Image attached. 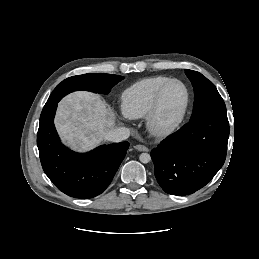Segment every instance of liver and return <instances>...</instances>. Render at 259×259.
<instances>
[{
	"label": "liver",
	"instance_id": "obj_1",
	"mask_svg": "<svg viewBox=\"0 0 259 259\" xmlns=\"http://www.w3.org/2000/svg\"><path fill=\"white\" fill-rule=\"evenodd\" d=\"M115 122L113 111L97 94L74 92L58 106L55 126L62 140L78 151H89L102 143Z\"/></svg>",
	"mask_w": 259,
	"mask_h": 259
}]
</instances>
